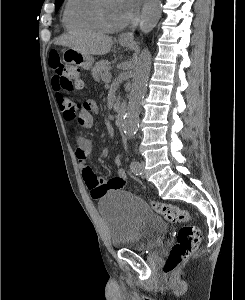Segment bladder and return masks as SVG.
I'll list each match as a JSON object with an SVG mask.
<instances>
[{
  "instance_id": "31cf9c89",
  "label": "bladder",
  "mask_w": 245,
  "mask_h": 300,
  "mask_svg": "<svg viewBox=\"0 0 245 300\" xmlns=\"http://www.w3.org/2000/svg\"><path fill=\"white\" fill-rule=\"evenodd\" d=\"M108 240L115 249L151 252L168 232L167 223L140 198L126 191H112L98 201Z\"/></svg>"
}]
</instances>
